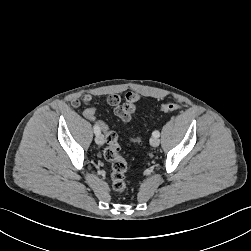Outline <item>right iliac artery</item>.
I'll use <instances>...</instances> for the list:
<instances>
[{
    "label": "right iliac artery",
    "instance_id": "right-iliac-artery-1",
    "mask_svg": "<svg viewBox=\"0 0 251 251\" xmlns=\"http://www.w3.org/2000/svg\"><path fill=\"white\" fill-rule=\"evenodd\" d=\"M93 129H94V133L95 134H99L100 133V128H99V126L98 125H94V127H93Z\"/></svg>",
    "mask_w": 251,
    "mask_h": 251
}]
</instances>
